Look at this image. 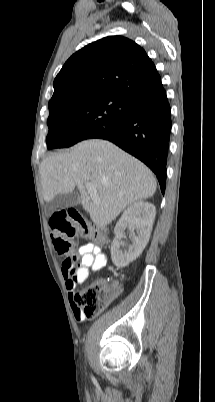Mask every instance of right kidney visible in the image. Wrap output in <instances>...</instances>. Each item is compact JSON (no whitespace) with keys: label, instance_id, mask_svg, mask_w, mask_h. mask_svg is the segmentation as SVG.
<instances>
[{"label":"right kidney","instance_id":"1","mask_svg":"<svg viewBox=\"0 0 215 402\" xmlns=\"http://www.w3.org/2000/svg\"><path fill=\"white\" fill-rule=\"evenodd\" d=\"M155 214V206L144 201L135 202L124 211L114 228L115 238L111 245V256L115 266L126 267L141 255L149 241ZM126 228L132 232L131 244L123 251L120 247H124L122 239L125 237Z\"/></svg>","mask_w":215,"mask_h":402}]
</instances>
